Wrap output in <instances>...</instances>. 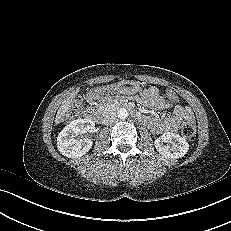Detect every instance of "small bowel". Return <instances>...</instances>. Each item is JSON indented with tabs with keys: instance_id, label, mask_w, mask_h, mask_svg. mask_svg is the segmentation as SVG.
I'll return each mask as SVG.
<instances>
[{
	"instance_id": "obj_1",
	"label": "small bowel",
	"mask_w": 231,
	"mask_h": 231,
	"mask_svg": "<svg viewBox=\"0 0 231 231\" xmlns=\"http://www.w3.org/2000/svg\"><path fill=\"white\" fill-rule=\"evenodd\" d=\"M136 100L150 109L171 111V114L166 117H143L142 122L156 134L175 131L182 121L194 120V114L189 107L173 104L155 87L144 90L140 96L136 97Z\"/></svg>"
}]
</instances>
